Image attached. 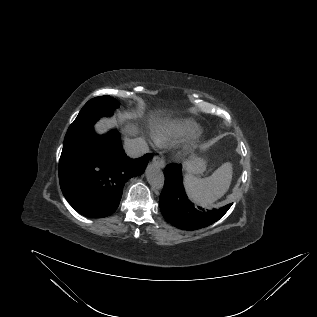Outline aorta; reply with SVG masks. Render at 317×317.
I'll return each mask as SVG.
<instances>
[{
  "mask_svg": "<svg viewBox=\"0 0 317 317\" xmlns=\"http://www.w3.org/2000/svg\"><path fill=\"white\" fill-rule=\"evenodd\" d=\"M146 177L152 188L160 190L164 186V173L158 163H150L146 168Z\"/></svg>",
  "mask_w": 317,
  "mask_h": 317,
  "instance_id": "762f6f07",
  "label": "aorta"
}]
</instances>
